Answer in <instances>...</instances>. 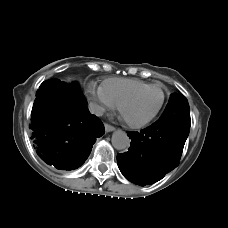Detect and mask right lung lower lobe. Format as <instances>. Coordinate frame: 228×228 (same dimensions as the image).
Here are the masks:
<instances>
[{
	"label": "right lung lower lobe",
	"instance_id": "obj_1",
	"mask_svg": "<svg viewBox=\"0 0 228 228\" xmlns=\"http://www.w3.org/2000/svg\"><path fill=\"white\" fill-rule=\"evenodd\" d=\"M81 91L71 96L61 81H44L31 112V139L38 156L57 169L74 170L88 158L103 123L89 113Z\"/></svg>",
	"mask_w": 228,
	"mask_h": 228
}]
</instances>
